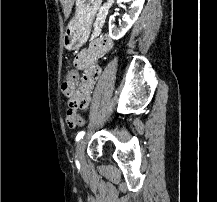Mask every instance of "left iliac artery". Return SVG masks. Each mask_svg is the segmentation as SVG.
<instances>
[{"mask_svg":"<svg viewBox=\"0 0 217 202\" xmlns=\"http://www.w3.org/2000/svg\"><path fill=\"white\" fill-rule=\"evenodd\" d=\"M84 134H85L84 131L79 132L76 136V141L77 142L80 141L83 138Z\"/></svg>","mask_w":217,"mask_h":202,"instance_id":"left-iliac-artery-1","label":"left iliac artery"}]
</instances>
